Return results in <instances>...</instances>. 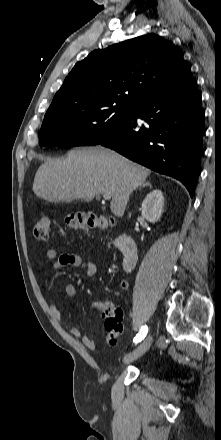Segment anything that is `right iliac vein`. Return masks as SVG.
Masks as SVG:
<instances>
[{
  "label": "right iliac vein",
  "mask_w": 221,
  "mask_h": 440,
  "mask_svg": "<svg viewBox=\"0 0 221 440\" xmlns=\"http://www.w3.org/2000/svg\"><path fill=\"white\" fill-rule=\"evenodd\" d=\"M151 343L152 336H148L134 351L124 357V363H130L141 357L150 348Z\"/></svg>",
  "instance_id": "right-iliac-vein-1"
}]
</instances>
